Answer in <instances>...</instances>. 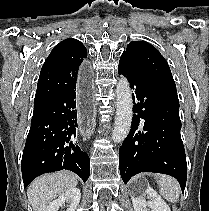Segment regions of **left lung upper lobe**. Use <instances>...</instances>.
<instances>
[{
  "instance_id": "obj_1",
  "label": "left lung upper lobe",
  "mask_w": 209,
  "mask_h": 211,
  "mask_svg": "<svg viewBox=\"0 0 209 211\" xmlns=\"http://www.w3.org/2000/svg\"><path fill=\"white\" fill-rule=\"evenodd\" d=\"M121 58L129 60L141 73L152 80L176 89L166 60L151 44L145 41H132Z\"/></svg>"
}]
</instances>
